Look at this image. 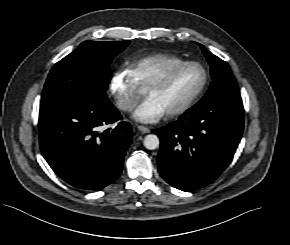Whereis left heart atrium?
<instances>
[{"label":"left heart atrium","instance_id":"39dd6f15","mask_svg":"<svg viewBox=\"0 0 290 245\" xmlns=\"http://www.w3.org/2000/svg\"><path fill=\"white\" fill-rule=\"evenodd\" d=\"M166 113L165 108L154 97L148 96L136 107L133 118L142 123H154Z\"/></svg>","mask_w":290,"mask_h":245}]
</instances>
